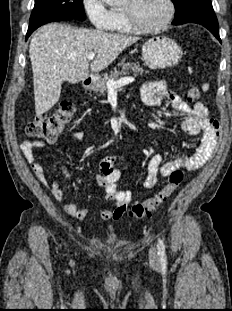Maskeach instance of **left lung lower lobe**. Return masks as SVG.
Returning a JSON list of instances; mask_svg holds the SVG:
<instances>
[{
    "mask_svg": "<svg viewBox=\"0 0 232 311\" xmlns=\"http://www.w3.org/2000/svg\"><path fill=\"white\" fill-rule=\"evenodd\" d=\"M196 23L206 27L219 41L218 21L211 0H196L187 8L175 14L172 24Z\"/></svg>",
    "mask_w": 232,
    "mask_h": 311,
    "instance_id": "obj_1",
    "label": "left lung lower lobe"
}]
</instances>
